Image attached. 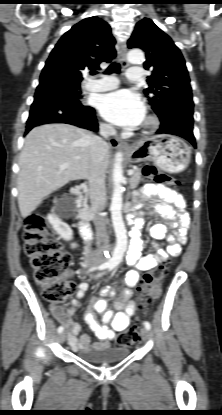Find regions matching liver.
Here are the masks:
<instances>
[{
	"instance_id": "liver-1",
	"label": "liver",
	"mask_w": 222,
	"mask_h": 415,
	"mask_svg": "<svg viewBox=\"0 0 222 415\" xmlns=\"http://www.w3.org/2000/svg\"><path fill=\"white\" fill-rule=\"evenodd\" d=\"M92 137L89 131L63 123L42 125L28 133L18 173V205L23 218L70 181L89 179ZM64 163L69 166L61 169ZM108 166L109 151L104 158L105 173Z\"/></svg>"
}]
</instances>
